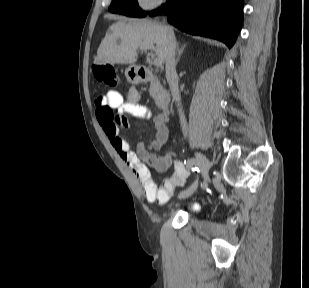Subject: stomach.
<instances>
[{"instance_id": "obj_1", "label": "stomach", "mask_w": 309, "mask_h": 288, "mask_svg": "<svg viewBox=\"0 0 309 288\" xmlns=\"http://www.w3.org/2000/svg\"><path fill=\"white\" fill-rule=\"evenodd\" d=\"M125 76L128 82L132 84H137L141 82V77L139 75V68L136 65H130L125 70Z\"/></svg>"}]
</instances>
